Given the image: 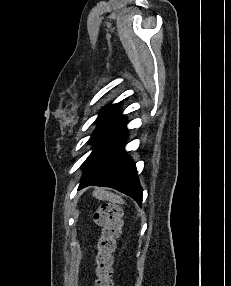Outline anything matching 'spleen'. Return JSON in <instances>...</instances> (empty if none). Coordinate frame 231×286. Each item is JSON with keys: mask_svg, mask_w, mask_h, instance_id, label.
<instances>
[{"mask_svg": "<svg viewBox=\"0 0 231 286\" xmlns=\"http://www.w3.org/2000/svg\"><path fill=\"white\" fill-rule=\"evenodd\" d=\"M93 196L99 200L109 201L112 204L122 205L125 203V201L122 199L121 196L116 195L112 192L103 190V189H98V190L93 191Z\"/></svg>", "mask_w": 231, "mask_h": 286, "instance_id": "3e777b00", "label": "spleen"}]
</instances>
